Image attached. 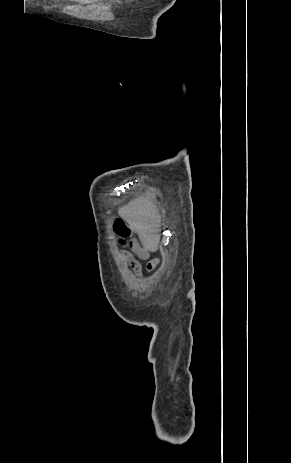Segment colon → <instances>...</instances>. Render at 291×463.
<instances>
[{
	"mask_svg": "<svg viewBox=\"0 0 291 463\" xmlns=\"http://www.w3.org/2000/svg\"><path fill=\"white\" fill-rule=\"evenodd\" d=\"M113 228H114V231H115V233H116V235L118 237L126 236V235H128L130 233L127 225L120 218H117L114 221ZM149 270H151V269H149Z\"/></svg>",
	"mask_w": 291,
	"mask_h": 463,
	"instance_id": "5ec220e1",
	"label": "colon"
}]
</instances>
